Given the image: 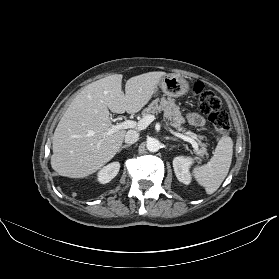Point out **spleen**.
Here are the masks:
<instances>
[{
	"mask_svg": "<svg viewBox=\"0 0 279 279\" xmlns=\"http://www.w3.org/2000/svg\"><path fill=\"white\" fill-rule=\"evenodd\" d=\"M232 155V139L226 135L222 136L210 161L194 168V177L205 188L207 194L214 193L226 178L230 169Z\"/></svg>",
	"mask_w": 279,
	"mask_h": 279,
	"instance_id": "obj_1",
	"label": "spleen"
}]
</instances>
